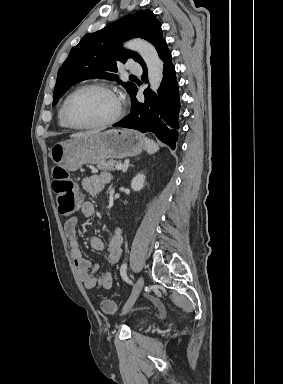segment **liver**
<instances>
[{
    "instance_id": "obj_1",
    "label": "liver",
    "mask_w": 283,
    "mask_h": 384,
    "mask_svg": "<svg viewBox=\"0 0 283 384\" xmlns=\"http://www.w3.org/2000/svg\"><path fill=\"white\" fill-rule=\"evenodd\" d=\"M93 134H99V130H91V132H78V134H72L70 138H82V136H93Z\"/></svg>"
}]
</instances>
